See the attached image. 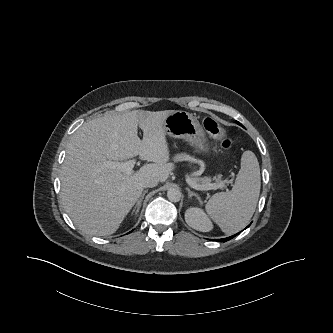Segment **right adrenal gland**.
Segmentation results:
<instances>
[{
    "mask_svg": "<svg viewBox=\"0 0 333 333\" xmlns=\"http://www.w3.org/2000/svg\"><path fill=\"white\" fill-rule=\"evenodd\" d=\"M147 192H148V190H144L143 193L141 194V197L138 199V201H137V203H136V205H135V207H134V210H133V212H135V215L138 214V212H139V210H140V207H141V204H142V201H143V199H144V196H145V194H146Z\"/></svg>",
    "mask_w": 333,
    "mask_h": 333,
    "instance_id": "1",
    "label": "right adrenal gland"
}]
</instances>
